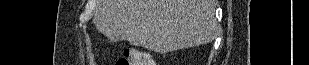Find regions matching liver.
Segmentation results:
<instances>
[{
    "label": "liver",
    "mask_w": 309,
    "mask_h": 65,
    "mask_svg": "<svg viewBox=\"0 0 309 65\" xmlns=\"http://www.w3.org/2000/svg\"><path fill=\"white\" fill-rule=\"evenodd\" d=\"M214 0H96L93 23L110 41L161 54L211 42Z\"/></svg>",
    "instance_id": "liver-1"
}]
</instances>
